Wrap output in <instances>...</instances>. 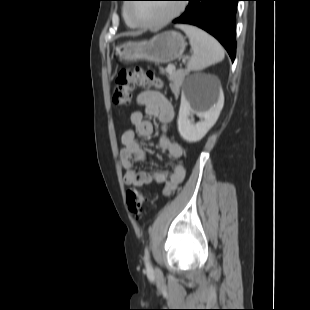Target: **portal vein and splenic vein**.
<instances>
[{
    "instance_id": "1",
    "label": "portal vein and splenic vein",
    "mask_w": 310,
    "mask_h": 310,
    "mask_svg": "<svg viewBox=\"0 0 310 310\" xmlns=\"http://www.w3.org/2000/svg\"><path fill=\"white\" fill-rule=\"evenodd\" d=\"M173 70H175V66L174 65H170L167 67V72H172Z\"/></svg>"
}]
</instances>
